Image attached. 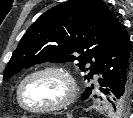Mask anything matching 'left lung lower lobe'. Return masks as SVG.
<instances>
[{"label":"left lung lower lobe","mask_w":133,"mask_h":118,"mask_svg":"<svg viewBox=\"0 0 133 118\" xmlns=\"http://www.w3.org/2000/svg\"><path fill=\"white\" fill-rule=\"evenodd\" d=\"M94 74H100L98 83L108 100L116 102L127 94L133 99V54L123 27L102 53Z\"/></svg>","instance_id":"0a47b994"}]
</instances>
